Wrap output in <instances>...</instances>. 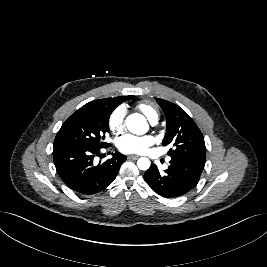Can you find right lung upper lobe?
I'll use <instances>...</instances> for the list:
<instances>
[{"mask_svg": "<svg viewBox=\"0 0 267 267\" xmlns=\"http://www.w3.org/2000/svg\"><path fill=\"white\" fill-rule=\"evenodd\" d=\"M131 96H119L115 98H105V99H100V100H95L92 102H89L83 106L84 107H89L93 105H98V104H111L115 107H117L119 104H121L123 101H127Z\"/></svg>", "mask_w": 267, "mask_h": 267, "instance_id": "obj_1", "label": "right lung upper lobe"}]
</instances>
